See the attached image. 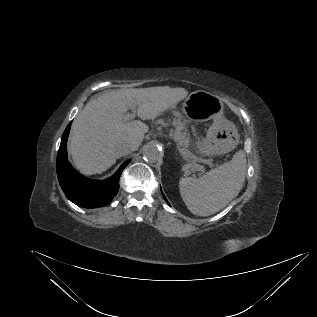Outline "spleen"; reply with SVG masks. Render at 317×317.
I'll return each instance as SVG.
<instances>
[{"label":"spleen","mask_w":317,"mask_h":317,"mask_svg":"<svg viewBox=\"0 0 317 317\" xmlns=\"http://www.w3.org/2000/svg\"><path fill=\"white\" fill-rule=\"evenodd\" d=\"M246 163L245 152L239 150L230 162L210 170L200 178H181L179 190L187 208L199 216H209L223 209L242 189Z\"/></svg>","instance_id":"spleen-1"}]
</instances>
